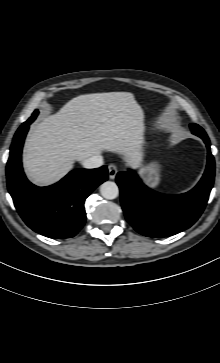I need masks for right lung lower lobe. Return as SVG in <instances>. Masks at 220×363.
<instances>
[{"instance_id": "right-lung-lower-lobe-1", "label": "right lung lower lobe", "mask_w": 220, "mask_h": 363, "mask_svg": "<svg viewBox=\"0 0 220 363\" xmlns=\"http://www.w3.org/2000/svg\"><path fill=\"white\" fill-rule=\"evenodd\" d=\"M34 120L24 122L13 138L6 167L8 191L18 213L32 230L50 238H71L85 223V199L107 180L108 170L106 166L76 169L48 187L31 184L22 169L21 151Z\"/></svg>"}]
</instances>
